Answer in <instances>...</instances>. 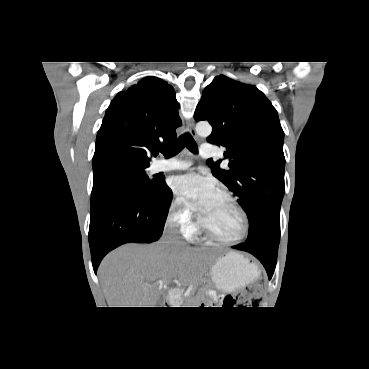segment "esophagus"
<instances>
[{"label":"esophagus","mask_w":369,"mask_h":369,"mask_svg":"<svg viewBox=\"0 0 369 369\" xmlns=\"http://www.w3.org/2000/svg\"><path fill=\"white\" fill-rule=\"evenodd\" d=\"M187 130L193 137H197L196 130H195V121L194 119H190L187 122Z\"/></svg>","instance_id":"esophagus-1"}]
</instances>
